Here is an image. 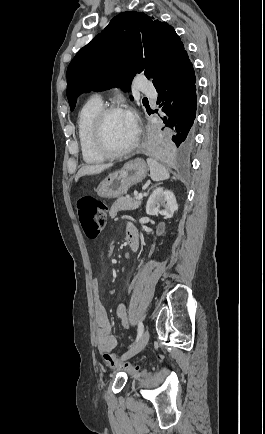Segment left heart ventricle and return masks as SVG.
Segmentation results:
<instances>
[{
  "instance_id": "b2bd125f",
  "label": "left heart ventricle",
  "mask_w": 265,
  "mask_h": 434,
  "mask_svg": "<svg viewBox=\"0 0 265 434\" xmlns=\"http://www.w3.org/2000/svg\"><path fill=\"white\" fill-rule=\"evenodd\" d=\"M137 133L131 129L123 113L113 115L107 123V142L115 151L129 148L135 141Z\"/></svg>"
}]
</instances>
